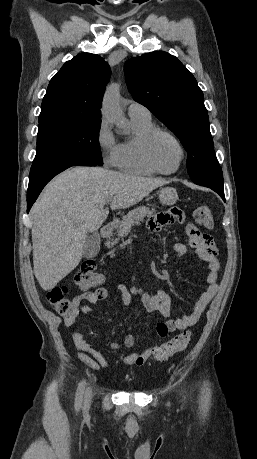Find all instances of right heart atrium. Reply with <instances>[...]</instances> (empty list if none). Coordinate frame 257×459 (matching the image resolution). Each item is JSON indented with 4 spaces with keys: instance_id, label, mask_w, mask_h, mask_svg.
Listing matches in <instances>:
<instances>
[{
    "instance_id": "1",
    "label": "right heart atrium",
    "mask_w": 257,
    "mask_h": 459,
    "mask_svg": "<svg viewBox=\"0 0 257 459\" xmlns=\"http://www.w3.org/2000/svg\"><path fill=\"white\" fill-rule=\"evenodd\" d=\"M96 141L104 163L107 165H115L118 143L106 120H102L98 127Z\"/></svg>"
}]
</instances>
